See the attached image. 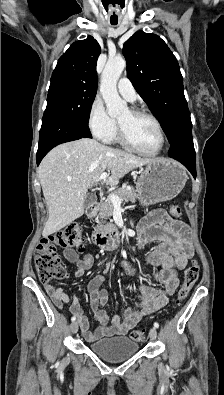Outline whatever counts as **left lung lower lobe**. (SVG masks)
Returning <instances> with one entry per match:
<instances>
[{
    "label": "left lung lower lobe",
    "instance_id": "1",
    "mask_svg": "<svg viewBox=\"0 0 224 395\" xmlns=\"http://www.w3.org/2000/svg\"><path fill=\"white\" fill-rule=\"evenodd\" d=\"M169 142L171 143L169 157L181 162L196 178V156L191 121L182 124L176 136Z\"/></svg>",
    "mask_w": 224,
    "mask_h": 395
}]
</instances>
